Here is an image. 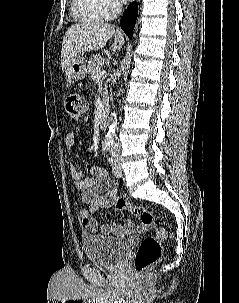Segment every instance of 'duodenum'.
Returning <instances> with one entry per match:
<instances>
[{"label":"duodenum","instance_id":"obj_1","mask_svg":"<svg viewBox=\"0 0 239 303\" xmlns=\"http://www.w3.org/2000/svg\"><path fill=\"white\" fill-rule=\"evenodd\" d=\"M108 123V112L102 111L98 115V125L101 129H106Z\"/></svg>","mask_w":239,"mask_h":303}]
</instances>
